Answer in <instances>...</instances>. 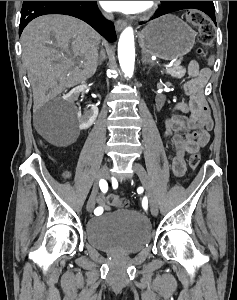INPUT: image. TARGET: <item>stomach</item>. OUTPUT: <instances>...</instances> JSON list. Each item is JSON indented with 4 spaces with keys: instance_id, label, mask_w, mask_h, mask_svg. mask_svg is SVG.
<instances>
[{
    "instance_id": "1",
    "label": "stomach",
    "mask_w": 237,
    "mask_h": 300,
    "mask_svg": "<svg viewBox=\"0 0 237 300\" xmlns=\"http://www.w3.org/2000/svg\"><path fill=\"white\" fill-rule=\"evenodd\" d=\"M196 33L175 15H164L150 21L139 33V47L144 53L174 61L194 47Z\"/></svg>"
}]
</instances>
